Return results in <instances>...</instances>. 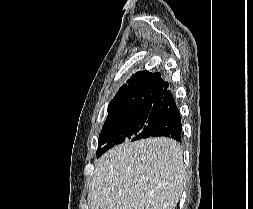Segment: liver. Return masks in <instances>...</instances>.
Masks as SVG:
<instances>
[{"label":"liver","instance_id":"obj_1","mask_svg":"<svg viewBox=\"0 0 253 209\" xmlns=\"http://www.w3.org/2000/svg\"><path fill=\"white\" fill-rule=\"evenodd\" d=\"M186 184L181 146L170 138L126 141L95 162L91 209H175Z\"/></svg>","mask_w":253,"mask_h":209}]
</instances>
